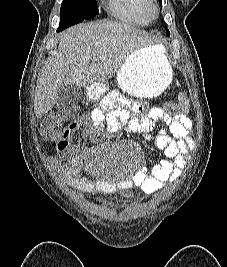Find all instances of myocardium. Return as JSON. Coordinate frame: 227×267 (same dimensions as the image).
Instances as JSON below:
<instances>
[{"label": "myocardium", "mask_w": 227, "mask_h": 267, "mask_svg": "<svg viewBox=\"0 0 227 267\" xmlns=\"http://www.w3.org/2000/svg\"><path fill=\"white\" fill-rule=\"evenodd\" d=\"M148 14L150 18H156L158 15V7L152 0H149Z\"/></svg>", "instance_id": "obj_1"}]
</instances>
